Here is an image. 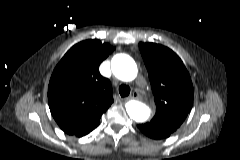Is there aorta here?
Wrapping results in <instances>:
<instances>
[{"mask_svg":"<svg viewBox=\"0 0 240 160\" xmlns=\"http://www.w3.org/2000/svg\"><path fill=\"white\" fill-rule=\"evenodd\" d=\"M111 69L121 81H132L137 76V65L133 58L126 54H117L112 58ZM126 111L136 122H145L151 115L150 108L142 102L131 100L126 104Z\"/></svg>","mask_w":240,"mask_h":160,"instance_id":"1","label":"aorta"}]
</instances>
